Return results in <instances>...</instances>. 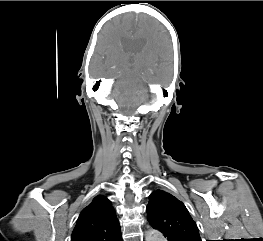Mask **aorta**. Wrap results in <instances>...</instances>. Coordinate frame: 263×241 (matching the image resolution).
Wrapping results in <instances>:
<instances>
[{"label": "aorta", "mask_w": 263, "mask_h": 241, "mask_svg": "<svg viewBox=\"0 0 263 241\" xmlns=\"http://www.w3.org/2000/svg\"><path fill=\"white\" fill-rule=\"evenodd\" d=\"M145 241H165V239L160 232L151 229L147 232Z\"/></svg>", "instance_id": "aorta-1"}]
</instances>
